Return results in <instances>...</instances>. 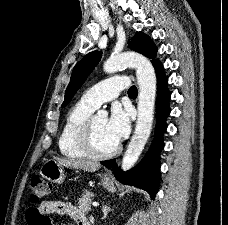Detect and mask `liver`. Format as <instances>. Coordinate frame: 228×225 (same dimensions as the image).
Instances as JSON below:
<instances>
[{"label": "liver", "instance_id": "liver-1", "mask_svg": "<svg viewBox=\"0 0 228 225\" xmlns=\"http://www.w3.org/2000/svg\"><path fill=\"white\" fill-rule=\"evenodd\" d=\"M60 165H65V167H72V169H82V171H96L100 169L99 163H94V161H66V159H56Z\"/></svg>", "mask_w": 228, "mask_h": 225}]
</instances>
